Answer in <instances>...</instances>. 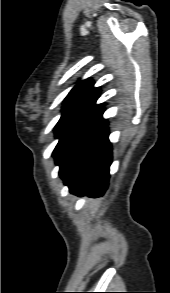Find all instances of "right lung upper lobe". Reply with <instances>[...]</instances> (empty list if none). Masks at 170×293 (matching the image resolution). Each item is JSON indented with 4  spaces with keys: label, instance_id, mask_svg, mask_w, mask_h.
<instances>
[{
    "label": "right lung upper lobe",
    "instance_id": "right-lung-upper-lobe-1",
    "mask_svg": "<svg viewBox=\"0 0 170 293\" xmlns=\"http://www.w3.org/2000/svg\"><path fill=\"white\" fill-rule=\"evenodd\" d=\"M100 91L93 87L90 79L79 82L68 94L62 111L77 108H103L102 104L96 105Z\"/></svg>",
    "mask_w": 170,
    "mask_h": 293
}]
</instances>
